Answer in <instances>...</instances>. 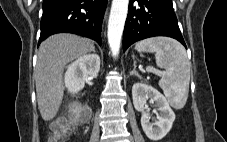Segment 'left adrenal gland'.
<instances>
[{"mask_svg": "<svg viewBox=\"0 0 227 142\" xmlns=\"http://www.w3.org/2000/svg\"><path fill=\"white\" fill-rule=\"evenodd\" d=\"M133 75L138 76V75L136 74V64H135V62H134V68H133V70L130 72V76H133ZM138 77H139V76H138Z\"/></svg>", "mask_w": 227, "mask_h": 142, "instance_id": "left-adrenal-gland-1", "label": "left adrenal gland"}]
</instances>
